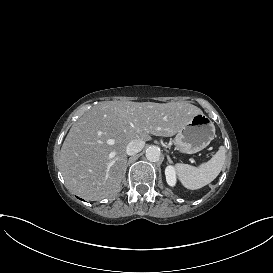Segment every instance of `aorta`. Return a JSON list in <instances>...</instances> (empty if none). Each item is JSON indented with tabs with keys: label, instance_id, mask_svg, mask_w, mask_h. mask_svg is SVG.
Returning <instances> with one entry per match:
<instances>
[{
	"label": "aorta",
	"instance_id": "762f6f07",
	"mask_svg": "<svg viewBox=\"0 0 273 273\" xmlns=\"http://www.w3.org/2000/svg\"><path fill=\"white\" fill-rule=\"evenodd\" d=\"M146 158L150 162H157L160 159V149L156 146H150L146 149Z\"/></svg>",
	"mask_w": 273,
	"mask_h": 273
}]
</instances>
